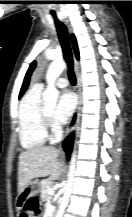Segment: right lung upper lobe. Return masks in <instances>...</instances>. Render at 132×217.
I'll return each mask as SVG.
<instances>
[{"mask_svg":"<svg viewBox=\"0 0 132 217\" xmlns=\"http://www.w3.org/2000/svg\"><path fill=\"white\" fill-rule=\"evenodd\" d=\"M72 43H73V48H74V52H75V55L77 58H79V51H78V46H77V42H76V39L75 37L72 35ZM36 66V63L35 61L32 62V64L30 65L28 71H27V74L25 76V79H24V82H23V85H22V88H21V92H20V97L22 96V94L25 92V90L27 89L28 87V84H29V77H30V74L31 72L33 71V69L35 68Z\"/></svg>","mask_w":132,"mask_h":217,"instance_id":"right-lung-upper-lobe-1","label":"right lung upper lobe"}]
</instances>
